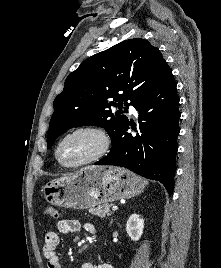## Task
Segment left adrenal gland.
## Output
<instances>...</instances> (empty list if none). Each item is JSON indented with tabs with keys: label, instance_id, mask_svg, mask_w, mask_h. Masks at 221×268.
<instances>
[{
	"label": "left adrenal gland",
	"instance_id": "a2214340",
	"mask_svg": "<svg viewBox=\"0 0 221 268\" xmlns=\"http://www.w3.org/2000/svg\"><path fill=\"white\" fill-rule=\"evenodd\" d=\"M112 222H113V220L111 219V222H110V224H112Z\"/></svg>",
	"mask_w": 221,
	"mask_h": 268
}]
</instances>
